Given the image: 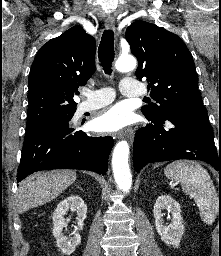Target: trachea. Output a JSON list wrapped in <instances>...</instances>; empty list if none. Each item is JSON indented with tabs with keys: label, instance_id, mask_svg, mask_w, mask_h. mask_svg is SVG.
<instances>
[{
	"label": "trachea",
	"instance_id": "obj_1",
	"mask_svg": "<svg viewBox=\"0 0 221 256\" xmlns=\"http://www.w3.org/2000/svg\"><path fill=\"white\" fill-rule=\"evenodd\" d=\"M114 56V33L111 30H105L99 45L98 58L106 74H111L112 72Z\"/></svg>",
	"mask_w": 221,
	"mask_h": 256
}]
</instances>
